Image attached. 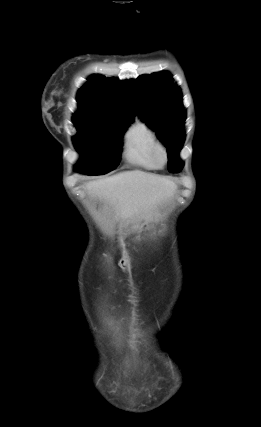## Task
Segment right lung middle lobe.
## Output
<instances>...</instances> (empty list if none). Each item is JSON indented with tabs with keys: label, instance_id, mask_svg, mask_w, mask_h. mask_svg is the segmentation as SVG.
Segmentation results:
<instances>
[{
	"label": "right lung middle lobe",
	"instance_id": "obj_1",
	"mask_svg": "<svg viewBox=\"0 0 261 427\" xmlns=\"http://www.w3.org/2000/svg\"><path fill=\"white\" fill-rule=\"evenodd\" d=\"M78 134L74 145L81 154L76 171L88 175H104L119 165L122 135L131 121L87 116H74Z\"/></svg>",
	"mask_w": 261,
	"mask_h": 427
}]
</instances>
